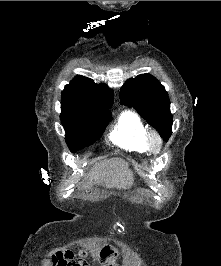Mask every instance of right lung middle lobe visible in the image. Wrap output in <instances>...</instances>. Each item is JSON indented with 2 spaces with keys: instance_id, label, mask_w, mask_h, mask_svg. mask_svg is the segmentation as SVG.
<instances>
[{
  "instance_id": "right-lung-middle-lobe-1",
  "label": "right lung middle lobe",
  "mask_w": 221,
  "mask_h": 266,
  "mask_svg": "<svg viewBox=\"0 0 221 266\" xmlns=\"http://www.w3.org/2000/svg\"><path fill=\"white\" fill-rule=\"evenodd\" d=\"M111 115L85 116L61 106V121L66 131V143L72 152L93 144L98 140Z\"/></svg>"
}]
</instances>
